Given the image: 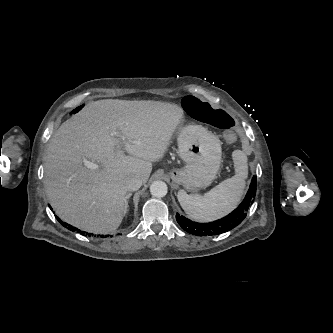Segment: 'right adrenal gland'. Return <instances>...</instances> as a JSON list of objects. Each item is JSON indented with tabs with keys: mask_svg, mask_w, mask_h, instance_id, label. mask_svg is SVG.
I'll use <instances>...</instances> for the list:
<instances>
[{
	"mask_svg": "<svg viewBox=\"0 0 333 333\" xmlns=\"http://www.w3.org/2000/svg\"><path fill=\"white\" fill-rule=\"evenodd\" d=\"M132 196V194L131 193H129V194H127L126 195V197H125V206H124V213L126 214L127 213V211H128V200H129V198Z\"/></svg>",
	"mask_w": 333,
	"mask_h": 333,
	"instance_id": "2a0ac1e0",
	"label": "right adrenal gland"
}]
</instances>
